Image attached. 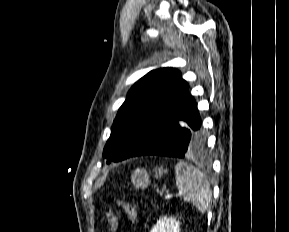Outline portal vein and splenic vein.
Masks as SVG:
<instances>
[{
    "label": "portal vein and splenic vein",
    "mask_w": 289,
    "mask_h": 232,
    "mask_svg": "<svg viewBox=\"0 0 289 232\" xmlns=\"http://www.w3.org/2000/svg\"><path fill=\"white\" fill-rule=\"evenodd\" d=\"M173 196H174L173 193H167V195H165L164 199L168 200V199H171Z\"/></svg>",
    "instance_id": "obj_1"
}]
</instances>
